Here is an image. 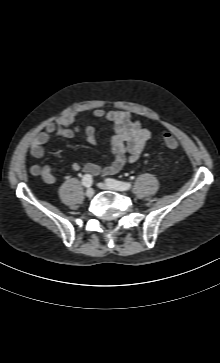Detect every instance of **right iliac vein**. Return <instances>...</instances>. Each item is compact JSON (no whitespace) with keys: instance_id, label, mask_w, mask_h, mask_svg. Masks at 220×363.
<instances>
[{"instance_id":"63e3f726","label":"right iliac vein","mask_w":220,"mask_h":363,"mask_svg":"<svg viewBox=\"0 0 220 363\" xmlns=\"http://www.w3.org/2000/svg\"><path fill=\"white\" fill-rule=\"evenodd\" d=\"M94 195V189L93 188H88L86 190V196L87 197H92Z\"/></svg>"}]
</instances>
